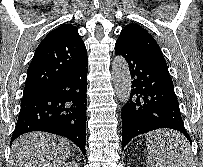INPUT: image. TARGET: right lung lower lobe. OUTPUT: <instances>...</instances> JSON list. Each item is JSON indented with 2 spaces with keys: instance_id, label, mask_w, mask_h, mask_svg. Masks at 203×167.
<instances>
[{
  "instance_id": "right-lung-lower-lobe-1",
  "label": "right lung lower lobe",
  "mask_w": 203,
  "mask_h": 167,
  "mask_svg": "<svg viewBox=\"0 0 203 167\" xmlns=\"http://www.w3.org/2000/svg\"><path fill=\"white\" fill-rule=\"evenodd\" d=\"M86 91L87 58L46 91L22 98L11 141L44 131L67 137L86 154Z\"/></svg>"
}]
</instances>
